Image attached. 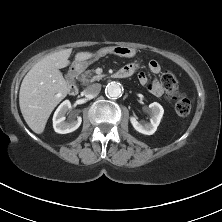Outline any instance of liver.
Segmentation results:
<instances>
[{"label": "liver", "instance_id": "liver-1", "mask_svg": "<svg viewBox=\"0 0 222 222\" xmlns=\"http://www.w3.org/2000/svg\"><path fill=\"white\" fill-rule=\"evenodd\" d=\"M72 49L51 53L37 62L25 75L19 92V106L28 126L41 134L54 108L64 99L69 86L59 69L67 67ZM93 57L90 52H79L77 60Z\"/></svg>", "mask_w": 222, "mask_h": 222}]
</instances>
